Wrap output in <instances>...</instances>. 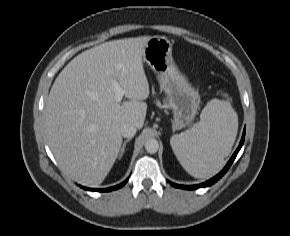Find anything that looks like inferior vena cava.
<instances>
[{"label": "inferior vena cava", "instance_id": "602c4592", "mask_svg": "<svg viewBox=\"0 0 290 236\" xmlns=\"http://www.w3.org/2000/svg\"><path fill=\"white\" fill-rule=\"evenodd\" d=\"M136 127L132 124H124L121 128H120V133L123 137L125 138H132L135 134H136Z\"/></svg>", "mask_w": 290, "mask_h": 236}]
</instances>
